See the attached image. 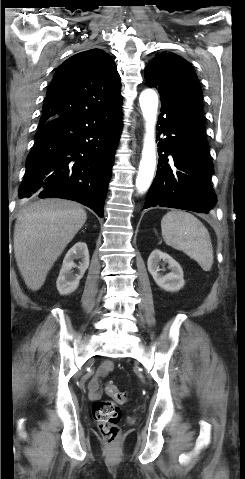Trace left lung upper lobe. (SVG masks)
<instances>
[{
	"instance_id": "5c2ea615",
	"label": "left lung upper lobe",
	"mask_w": 245,
	"mask_h": 479,
	"mask_svg": "<svg viewBox=\"0 0 245 479\" xmlns=\"http://www.w3.org/2000/svg\"><path fill=\"white\" fill-rule=\"evenodd\" d=\"M149 87L158 88L161 100L195 98L202 101V91L193 67L174 53H161L146 69Z\"/></svg>"
}]
</instances>
